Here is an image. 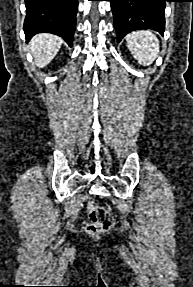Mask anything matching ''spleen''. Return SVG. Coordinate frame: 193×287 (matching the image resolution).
<instances>
[{
	"label": "spleen",
	"mask_w": 193,
	"mask_h": 287,
	"mask_svg": "<svg viewBox=\"0 0 193 287\" xmlns=\"http://www.w3.org/2000/svg\"><path fill=\"white\" fill-rule=\"evenodd\" d=\"M126 44L135 59L144 66L151 65L159 54V41L148 30L135 31L126 36Z\"/></svg>",
	"instance_id": "obj_1"
}]
</instances>
